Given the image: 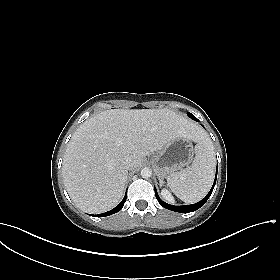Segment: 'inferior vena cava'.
Returning a JSON list of instances; mask_svg holds the SVG:
<instances>
[{
	"label": "inferior vena cava",
	"instance_id": "602c4592",
	"mask_svg": "<svg viewBox=\"0 0 280 280\" xmlns=\"http://www.w3.org/2000/svg\"><path fill=\"white\" fill-rule=\"evenodd\" d=\"M124 167L129 170L134 167L135 160L132 156H126L123 161Z\"/></svg>",
	"mask_w": 280,
	"mask_h": 280
}]
</instances>
